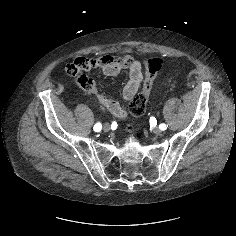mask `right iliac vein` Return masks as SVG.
I'll list each match as a JSON object with an SVG mask.
<instances>
[{"label": "right iliac vein", "mask_w": 236, "mask_h": 236, "mask_svg": "<svg viewBox=\"0 0 236 236\" xmlns=\"http://www.w3.org/2000/svg\"><path fill=\"white\" fill-rule=\"evenodd\" d=\"M110 129H111V127H110V125H109L108 123H105V124L103 125V130H104L105 132H109Z\"/></svg>", "instance_id": "1"}]
</instances>
